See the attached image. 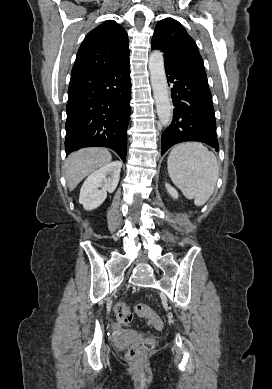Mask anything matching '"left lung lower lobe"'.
<instances>
[{"label":"left lung lower lobe","mask_w":272,"mask_h":389,"mask_svg":"<svg viewBox=\"0 0 272 389\" xmlns=\"http://www.w3.org/2000/svg\"><path fill=\"white\" fill-rule=\"evenodd\" d=\"M175 109L170 126L163 132L161 154L185 141L203 142L219 149L212 95L202 68L166 67Z\"/></svg>","instance_id":"0a47b994"}]
</instances>
